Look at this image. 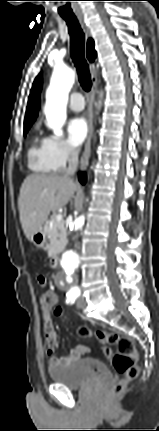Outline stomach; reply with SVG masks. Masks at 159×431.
I'll list each match as a JSON object with an SVG mask.
<instances>
[{"mask_svg":"<svg viewBox=\"0 0 159 431\" xmlns=\"http://www.w3.org/2000/svg\"><path fill=\"white\" fill-rule=\"evenodd\" d=\"M33 244L38 247L42 248L46 242V233L43 230H40L37 232L33 237L32 240Z\"/></svg>","mask_w":159,"mask_h":431,"instance_id":"obj_1","label":"stomach"}]
</instances>
